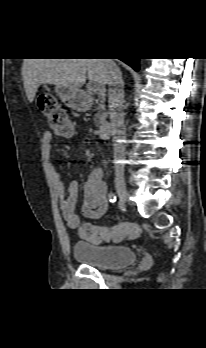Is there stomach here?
Returning <instances> with one entry per match:
<instances>
[{
	"label": "stomach",
	"instance_id": "0dacf381",
	"mask_svg": "<svg viewBox=\"0 0 206 348\" xmlns=\"http://www.w3.org/2000/svg\"><path fill=\"white\" fill-rule=\"evenodd\" d=\"M55 92L69 108L84 111L87 107L86 95L80 89H73L66 85H56Z\"/></svg>",
	"mask_w": 206,
	"mask_h": 348
}]
</instances>
